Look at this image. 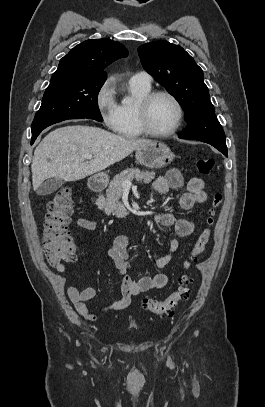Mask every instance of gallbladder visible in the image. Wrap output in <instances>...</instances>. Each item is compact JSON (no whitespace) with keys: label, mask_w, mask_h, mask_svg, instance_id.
<instances>
[{"label":"gallbladder","mask_w":265,"mask_h":407,"mask_svg":"<svg viewBox=\"0 0 265 407\" xmlns=\"http://www.w3.org/2000/svg\"><path fill=\"white\" fill-rule=\"evenodd\" d=\"M63 183V180L60 178H50L42 183V185L37 189V194L40 196L50 195L57 191L63 185Z\"/></svg>","instance_id":"obj_1"}]
</instances>
